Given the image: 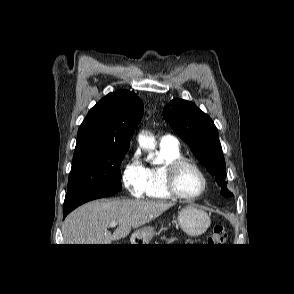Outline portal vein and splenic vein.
I'll list each match as a JSON object with an SVG mask.
<instances>
[{
	"label": "portal vein and splenic vein",
	"mask_w": 294,
	"mask_h": 294,
	"mask_svg": "<svg viewBox=\"0 0 294 294\" xmlns=\"http://www.w3.org/2000/svg\"><path fill=\"white\" fill-rule=\"evenodd\" d=\"M109 226H110V227H115V226H117V223H116V222L110 223Z\"/></svg>",
	"instance_id": "1"
}]
</instances>
